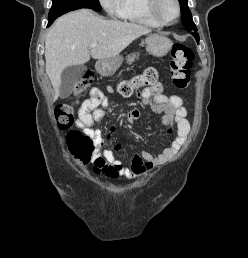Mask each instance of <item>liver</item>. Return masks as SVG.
<instances>
[{
	"instance_id": "6515ba94",
	"label": "liver",
	"mask_w": 248,
	"mask_h": 258,
	"mask_svg": "<svg viewBox=\"0 0 248 258\" xmlns=\"http://www.w3.org/2000/svg\"><path fill=\"white\" fill-rule=\"evenodd\" d=\"M151 30L134 23L105 20L89 9H80L58 18L45 39L46 74L60 94L61 74L69 66L90 60L116 57L129 44ZM91 43L98 46L91 48Z\"/></svg>"
}]
</instances>
